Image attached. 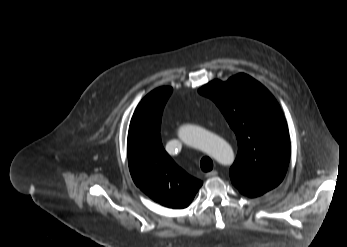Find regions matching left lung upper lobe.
Wrapping results in <instances>:
<instances>
[{"mask_svg": "<svg viewBox=\"0 0 347 247\" xmlns=\"http://www.w3.org/2000/svg\"><path fill=\"white\" fill-rule=\"evenodd\" d=\"M199 93L215 102L236 134L238 154L230 168L232 183L261 193L278 186L288 168L290 139L273 95L243 73L226 82L213 80Z\"/></svg>", "mask_w": 347, "mask_h": 247, "instance_id": "1", "label": "left lung upper lobe"}]
</instances>
